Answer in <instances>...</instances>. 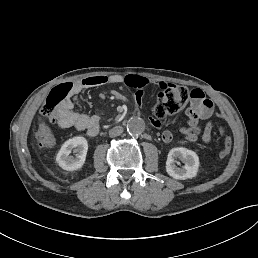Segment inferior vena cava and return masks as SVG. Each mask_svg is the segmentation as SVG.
Segmentation results:
<instances>
[{
  "label": "inferior vena cava",
  "instance_id": "inferior-vena-cava-1",
  "mask_svg": "<svg viewBox=\"0 0 258 258\" xmlns=\"http://www.w3.org/2000/svg\"><path fill=\"white\" fill-rule=\"evenodd\" d=\"M123 133V127L122 126H115L109 131L110 137H116Z\"/></svg>",
  "mask_w": 258,
  "mask_h": 258
}]
</instances>
